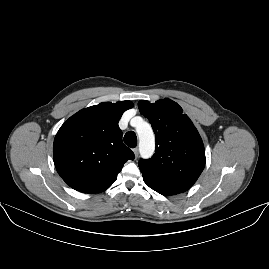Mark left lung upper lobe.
I'll return each mask as SVG.
<instances>
[{"instance_id": "obj_1", "label": "left lung upper lobe", "mask_w": 269, "mask_h": 269, "mask_svg": "<svg viewBox=\"0 0 269 269\" xmlns=\"http://www.w3.org/2000/svg\"><path fill=\"white\" fill-rule=\"evenodd\" d=\"M138 107L149 119L156 137L155 154L139 161L143 176L192 186L204 169L205 150L189 117L170 99L153 104L141 100Z\"/></svg>"}]
</instances>
